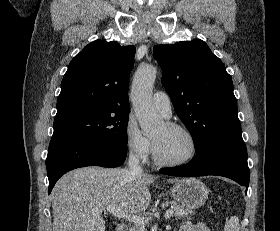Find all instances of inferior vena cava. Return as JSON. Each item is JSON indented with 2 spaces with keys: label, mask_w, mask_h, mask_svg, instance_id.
<instances>
[{
  "label": "inferior vena cava",
  "mask_w": 280,
  "mask_h": 231,
  "mask_svg": "<svg viewBox=\"0 0 280 231\" xmlns=\"http://www.w3.org/2000/svg\"><path fill=\"white\" fill-rule=\"evenodd\" d=\"M128 165L129 171H131V175H139V173H142V167L140 165V159L137 153V149H132V151H130Z\"/></svg>",
  "instance_id": "1"
}]
</instances>
